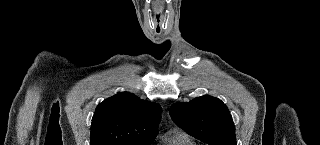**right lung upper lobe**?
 <instances>
[{
    "mask_svg": "<svg viewBox=\"0 0 320 145\" xmlns=\"http://www.w3.org/2000/svg\"><path fill=\"white\" fill-rule=\"evenodd\" d=\"M160 105L123 92L101 102L94 113L90 145H147L156 136Z\"/></svg>",
    "mask_w": 320,
    "mask_h": 145,
    "instance_id": "obj_1",
    "label": "right lung upper lobe"
}]
</instances>
